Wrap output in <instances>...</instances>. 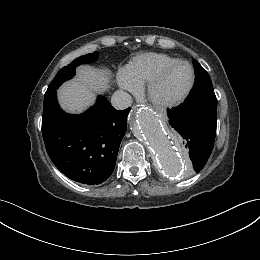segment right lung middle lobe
Wrapping results in <instances>:
<instances>
[{
	"instance_id": "1",
	"label": "right lung middle lobe",
	"mask_w": 260,
	"mask_h": 260,
	"mask_svg": "<svg viewBox=\"0 0 260 260\" xmlns=\"http://www.w3.org/2000/svg\"><path fill=\"white\" fill-rule=\"evenodd\" d=\"M98 52H93L73 60L69 65L62 68L49 84L47 92L56 91V89L66 80L72 78L75 74V68L80 64L91 63L98 58Z\"/></svg>"
}]
</instances>
